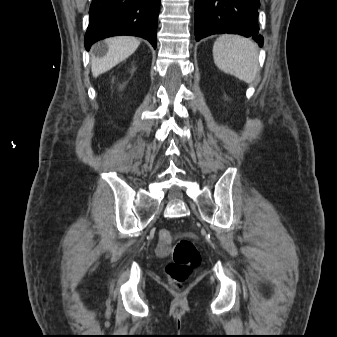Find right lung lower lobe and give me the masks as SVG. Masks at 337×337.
<instances>
[{
    "mask_svg": "<svg viewBox=\"0 0 337 337\" xmlns=\"http://www.w3.org/2000/svg\"><path fill=\"white\" fill-rule=\"evenodd\" d=\"M160 0H93L85 47L116 35L147 39L156 48L157 18Z\"/></svg>",
    "mask_w": 337,
    "mask_h": 337,
    "instance_id": "obj_1",
    "label": "right lung lower lobe"
}]
</instances>
